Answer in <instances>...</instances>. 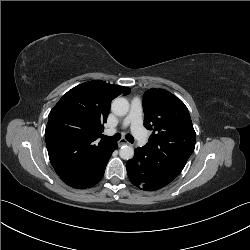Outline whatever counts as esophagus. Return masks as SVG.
Listing matches in <instances>:
<instances>
[{
  "instance_id": "esophagus-1",
  "label": "esophagus",
  "mask_w": 250,
  "mask_h": 250,
  "mask_svg": "<svg viewBox=\"0 0 250 250\" xmlns=\"http://www.w3.org/2000/svg\"><path fill=\"white\" fill-rule=\"evenodd\" d=\"M130 143L126 140V139H124V138H122L121 140H119V142H118V146H123V145H129Z\"/></svg>"
}]
</instances>
